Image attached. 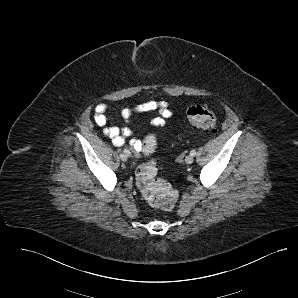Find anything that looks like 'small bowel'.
<instances>
[{"mask_svg":"<svg viewBox=\"0 0 298 298\" xmlns=\"http://www.w3.org/2000/svg\"><path fill=\"white\" fill-rule=\"evenodd\" d=\"M109 106L106 103H100L95 108L94 121L95 123L103 127V133L112 140V143L116 146H122L125 144L127 138L133 135V129L129 126V122L132 116L136 113H150L156 112L158 115L151 119L150 124L154 127H163L166 124V120L173 116V111L167 101L164 100H149L138 103L132 107H125L121 110V116L126 125L122 128L107 127V112ZM141 141L139 139H131L129 145L135 152L141 151Z\"/></svg>","mask_w":298,"mask_h":298,"instance_id":"small-bowel-1","label":"small bowel"}]
</instances>
